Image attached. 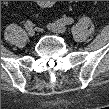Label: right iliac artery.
Returning <instances> with one entry per match:
<instances>
[{"mask_svg": "<svg viewBox=\"0 0 109 109\" xmlns=\"http://www.w3.org/2000/svg\"><path fill=\"white\" fill-rule=\"evenodd\" d=\"M32 27H33L32 21L28 20V21L26 22V24H25V28H26L27 30H29V29H32Z\"/></svg>", "mask_w": 109, "mask_h": 109, "instance_id": "82829eb1", "label": "right iliac artery"}]
</instances>
